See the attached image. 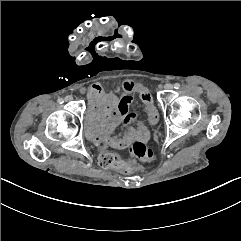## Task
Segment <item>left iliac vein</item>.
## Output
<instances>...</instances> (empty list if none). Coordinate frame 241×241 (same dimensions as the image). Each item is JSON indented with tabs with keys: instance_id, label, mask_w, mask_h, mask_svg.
<instances>
[{
	"instance_id": "4c4485c4",
	"label": "left iliac vein",
	"mask_w": 241,
	"mask_h": 241,
	"mask_svg": "<svg viewBox=\"0 0 241 241\" xmlns=\"http://www.w3.org/2000/svg\"><path fill=\"white\" fill-rule=\"evenodd\" d=\"M164 89H166V90H171V89H173V85L170 84V83H166V84L164 85Z\"/></svg>"
}]
</instances>
